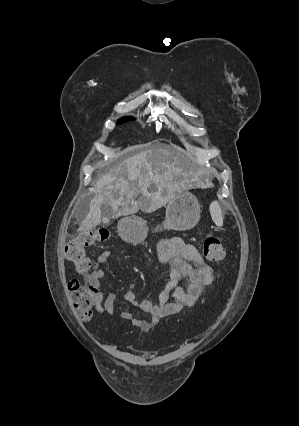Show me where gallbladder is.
I'll return each instance as SVG.
<instances>
[{"mask_svg":"<svg viewBox=\"0 0 299 426\" xmlns=\"http://www.w3.org/2000/svg\"><path fill=\"white\" fill-rule=\"evenodd\" d=\"M102 216L104 217V225H108L110 223V219L113 216V209L108 205H103L101 207Z\"/></svg>","mask_w":299,"mask_h":426,"instance_id":"bac80fb5","label":"gallbladder"}]
</instances>
